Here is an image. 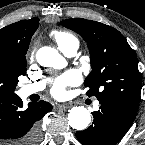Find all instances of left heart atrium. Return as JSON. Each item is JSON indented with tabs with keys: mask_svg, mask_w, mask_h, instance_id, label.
Here are the masks:
<instances>
[{
	"mask_svg": "<svg viewBox=\"0 0 145 145\" xmlns=\"http://www.w3.org/2000/svg\"><path fill=\"white\" fill-rule=\"evenodd\" d=\"M78 81L79 75L74 71H69L54 82L51 93L55 97H63L66 93V87L74 85Z\"/></svg>",
	"mask_w": 145,
	"mask_h": 145,
	"instance_id": "obj_1",
	"label": "left heart atrium"
}]
</instances>
